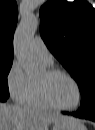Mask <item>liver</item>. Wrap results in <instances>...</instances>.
<instances>
[{
	"label": "liver",
	"instance_id": "1",
	"mask_svg": "<svg viewBox=\"0 0 95 130\" xmlns=\"http://www.w3.org/2000/svg\"><path fill=\"white\" fill-rule=\"evenodd\" d=\"M65 118L67 116L55 112L0 104V130H48L49 126Z\"/></svg>",
	"mask_w": 95,
	"mask_h": 130
}]
</instances>
